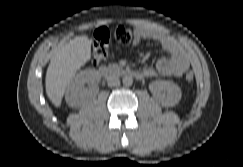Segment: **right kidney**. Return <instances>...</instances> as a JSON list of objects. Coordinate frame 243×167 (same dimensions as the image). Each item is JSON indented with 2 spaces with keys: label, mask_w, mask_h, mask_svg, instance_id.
<instances>
[{
  "label": "right kidney",
  "mask_w": 243,
  "mask_h": 167,
  "mask_svg": "<svg viewBox=\"0 0 243 167\" xmlns=\"http://www.w3.org/2000/svg\"><path fill=\"white\" fill-rule=\"evenodd\" d=\"M100 79V75L96 70L86 69L77 74L68 85L65 100L66 103L73 108H78L86 104V102L94 96V91L85 85H94Z\"/></svg>",
  "instance_id": "ca27d5eb"
}]
</instances>
